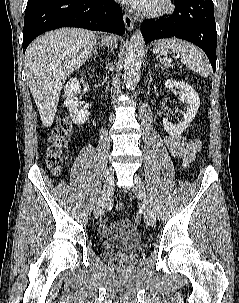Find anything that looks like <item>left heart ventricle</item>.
Here are the masks:
<instances>
[{
    "mask_svg": "<svg viewBox=\"0 0 239 303\" xmlns=\"http://www.w3.org/2000/svg\"><path fill=\"white\" fill-rule=\"evenodd\" d=\"M154 1H156V0H153V1H152V3H151V5H153V4H154ZM151 5H150V6H151Z\"/></svg>",
    "mask_w": 239,
    "mask_h": 303,
    "instance_id": "obj_1",
    "label": "left heart ventricle"
}]
</instances>
